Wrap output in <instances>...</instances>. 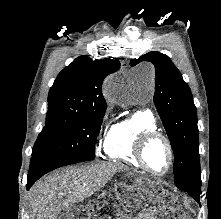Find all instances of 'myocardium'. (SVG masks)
I'll list each match as a JSON object with an SVG mask.
<instances>
[{
  "mask_svg": "<svg viewBox=\"0 0 221 219\" xmlns=\"http://www.w3.org/2000/svg\"><path fill=\"white\" fill-rule=\"evenodd\" d=\"M156 139H160L164 142V144L167 147L169 155L168 168L166 169L165 172L162 173H158L153 169H151L145 159V150L147 146ZM134 156L143 169H145L147 172L157 177H162L169 174L173 168L175 161L174 149L171 141L167 136H165L163 133L159 132L158 130H146L138 136L134 145Z\"/></svg>",
  "mask_w": 221,
  "mask_h": 219,
  "instance_id": "obj_1",
  "label": "myocardium"
}]
</instances>
